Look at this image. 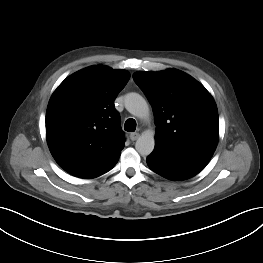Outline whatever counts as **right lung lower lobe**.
<instances>
[{"mask_svg":"<svg viewBox=\"0 0 263 263\" xmlns=\"http://www.w3.org/2000/svg\"><path fill=\"white\" fill-rule=\"evenodd\" d=\"M119 159V158H118ZM118 160H116L115 162H113L112 164H110L109 166H107L106 168H104L103 170L101 171H98V172H95V173H92V174H89V175H86L84 177H81V178H85V179H91V178H95V177H98L100 175H103L104 173L108 172L109 170H111L114 165L117 163Z\"/></svg>","mask_w":263,"mask_h":263,"instance_id":"98d812e1","label":"right lung lower lobe"}]
</instances>
